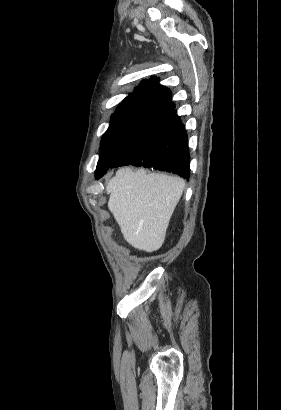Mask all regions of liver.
<instances>
[{
	"mask_svg": "<svg viewBox=\"0 0 281 410\" xmlns=\"http://www.w3.org/2000/svg\"><path fill=\"white\" fill-rule=\"evenodd\" d=\"M184 186L179 177L147 174L144 169L134 172L130 167L119 169L106 192L110 194L108 208L124 239L139 250H158Z\"/></svg>",
	"mask_w": 281,
	"mask_h": 410,
	"instance_id": "1",
	"label": "liver"
}]
</instances>
